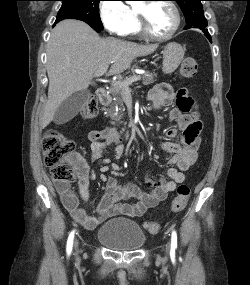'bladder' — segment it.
<instances>
[{
  "mask_svg": "<svg viewBox=\"0 0 250 285\" xmlns=\"http://www.w3.org/2000/svg\"><path fill=\"white\" fill-rule=\"evenodd\" d=\"M97 240L115 251H134L141 248L146 236L140 225L128 218L117 217L104 222L97 230Z\"/></svg>",
  "mask_w": 250,
  "mask_h": 285,
  "instance_id": "1",
  "label": "bladder"
}]
</instances>
